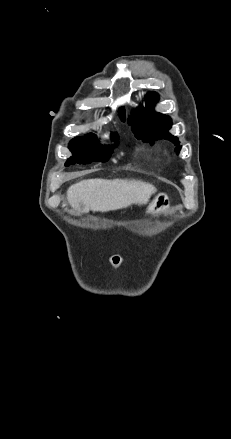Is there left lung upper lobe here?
<instances>
[{
	"instance_id": "1",
	"label": "left lung upper lobe",
	"mask_w": 231,
	"mask_h": 439,
	"mask_svg": "<svg viewBox=\"0 0 231 439\" xmlns=\"http://www.w3.org/2000/svg\"><path fill=\"white\" fill-rule=\"evenodd\" d=\"M158 101V95L154 92L146 96L147 108H138L133 113L129 123L133 124L132 130L135 136L143 141H150L153 145L155 140L166 139L176 145L175 151L180 150V142L177 137L171 135L168 130L172 126L171 118L153 110L154 104Z\"/></svg>"
}]
</instances>
